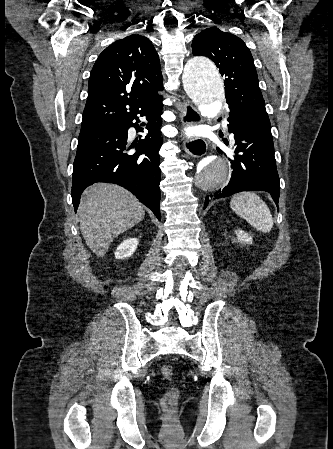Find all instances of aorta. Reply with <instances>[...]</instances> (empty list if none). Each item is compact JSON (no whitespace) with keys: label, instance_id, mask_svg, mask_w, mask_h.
I'll return each instance as SVG.
<instances>
[{"label":"aorta","instance_id":"762f6f07","mask_svg":"<svg viewBox=\"0 0 333 449\" xmlns=\"http://www.w3.org/2000/svg\"><path fill=\"white\" fill-rule=\"evenodd\" d=\"M182 83L187 95L206 116L214 115V109H220L225 100L218 69L206 57L194 56L187 61ZM228 176V160L220 154H212L193 166L190 178L195 189L212 193L224 187Z\"/></svg>","mask_w":333,"mask_h":449}]
</instances>
